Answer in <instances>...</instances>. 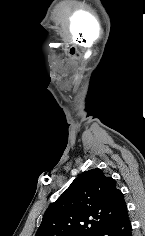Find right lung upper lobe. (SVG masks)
I'll return each instance as SVG.
<instances>
[{
	"label": "right lung upper lobe",
	"mask_w": 145,
	"mask_h": 236,
	"mask_svg": "<svg viewBox=\"0 0 145 236\" xmlns=\"http://www.w3.org/2000/svg\"><path fill=\"white\" fill-rule=\"evenodd\" d=\"M125 208L115 180L91 169L49 206L35 236H94Z\"/></svg>",
	"instance_id": "cb5924a9"
}]
</instances>
